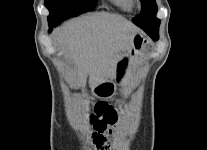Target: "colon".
<instances>
[{
    "mask_svg": "<svg viewBox=\"0 0 207 150\" xmlns=\"http://www.w3.org/2000/svg\"><path fill=\"white\" fill-rule=\"evenodd\" d=\"M116 113L114 109L104 103H99L94 108L91 115V123L97 133H91V138H97L100 145L97 147L104 149L106 136H111L115 130Z\"/></svg>",
    "mask_w": 207,
    "mask_h": 150,
    "instance_id": "1",
    "label": "colon"
}]
</instances>
